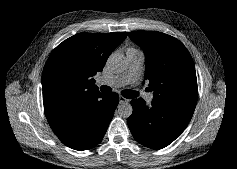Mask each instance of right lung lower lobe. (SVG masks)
Listing matches in <instances>:
<instances>
[{
	"mask_svg": "<svg viewBox=\"0 0 237 169\" xmlns=\"http://www.w3.org/2000/svg\"><path fill=\"white\" fill-rule=\"evenodd\" d=\"M118 102L119 96L114 92L103 95L93 91L47 120L65 145L87 150L101 142Z\"/></svg>",
	"mask_w": 237,
	"mask_h": 169,
	"instance_id": "1",
	"label": "right lung lower lobe"
}]
</instances>
